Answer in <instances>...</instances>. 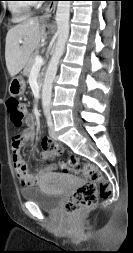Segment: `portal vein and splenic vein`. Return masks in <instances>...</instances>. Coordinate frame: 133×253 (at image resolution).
I'll return each instance as SVG.
<instances>
[{
	"label": "portal vein and splenic vein",
	"mask_w": 133,
	"mask_h": 253,
	"mask_svg": "<svg viewBox=\"0 0 133 253\" xmlns=\"http://www.w3.org/2000/svg\"><path fill=\"white\" fill-rule=\"evenodd\" d=\"M22 42H23L22 40L19 41V43H22ZM43 63H44L43 58L41 56H36L35 63L33 65L32 69L41 67L43 65Z\"/></svg>",
	"instance_id": "18ae733b"
}]
</instances>
